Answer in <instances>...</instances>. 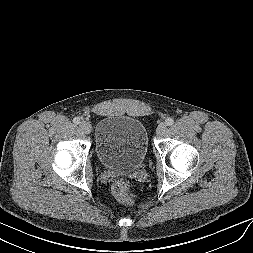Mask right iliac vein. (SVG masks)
<instances>
[{
  "label": "right iliac vein",
  "instance_id": "obj_1",
  "mask_svg": "<svg viewBox=\"0 0 253 253\" xmlns=\"http://www.w3.org/2000/svg\"><path fill=\"white\" fill-rule=\"evenodd\" d=\"M79 127L81 131L85 134H89L91 132V125L87 121H81Z\"/></svg>",
  "mask_w": 253,
  "mask_h": 253
}]
</instances>
